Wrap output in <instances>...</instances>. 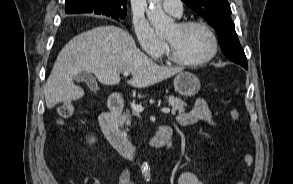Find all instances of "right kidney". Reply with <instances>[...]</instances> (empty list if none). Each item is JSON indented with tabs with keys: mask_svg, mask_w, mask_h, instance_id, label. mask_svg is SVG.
Masks as SVG:
<instances>
[{
	"mask_svg": "<svg viewBox=\"0 0 293 184\" xmlns=\"http://www.w3.org/2000/svg\"><path fill=\"white\" fill-rule=\"evenodd\" d=\"M94 141H95L94 139H91V140H90V142H94Z\"/></svg>",
	"mask_w": 293,
	"mask_h": 184,
	"instance_id": "1",
	"label": "right kidney"
}]
</instances>
